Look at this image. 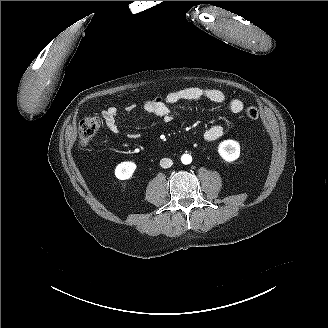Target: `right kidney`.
Segmentation results:
<instances>
[{
	"label": "right kidney",
	"instance_id": "1",
	"mask_svg": "<svg viewBox=\"0 0 328 328\" xmlns=\"http://www.w3.org/2000/svg\"><path fill=\"white\" fill-rule=\"evenodd\" d=\"M137 165L135 162L124 161L118 164L115 168V176L122 181L129 180L133 177Z\"/></svg>",
	"mask_w": 328,
	"mask_h": 328
}]
</instances>
